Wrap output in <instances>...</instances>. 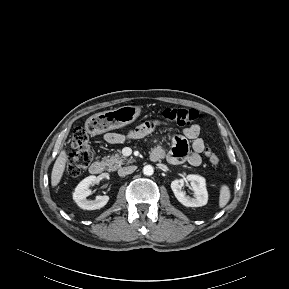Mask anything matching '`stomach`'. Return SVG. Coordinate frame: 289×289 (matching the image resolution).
I'll return each mask as SVG.
<instances>
[{"instance_id":"1","label":"stomach","mask_w":289,"mask_h":289,"mask_svg":"<svg viewBox=\"0 0 289 289\" xmlns=\"http://www.w3.org/2000/svg\"><path fill=\"white\" fill-rule=\"evenodd\" d=\"M140 113L141 108L139 106H122L89 117L85 122V129L93 136L102 134L131 124L137 119Z\"/></svg>"}]
</instances>
